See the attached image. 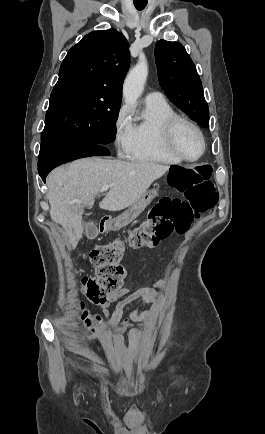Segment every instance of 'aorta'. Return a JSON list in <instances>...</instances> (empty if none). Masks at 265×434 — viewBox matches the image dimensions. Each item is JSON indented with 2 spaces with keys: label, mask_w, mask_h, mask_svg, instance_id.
Listing matches in <instances>:
<instances>
[{
  "label": "aorta",
  "mask_w": 265,
  "mask_h": 434,
  "mask_svg": "<svg viewBox=\"0 0 265 434\" xmlns=\"http://www.w3.org/2000/svg\"><path fill=\"white\" fill-rule=\"evenodd\" d=\"M148 76V64L144 56H139L138 64L130 70L123 84V98L125 104L132 106L141 96Z\"/></svg>",
  "instance_id": "aorta-1"
}]
</instances>
